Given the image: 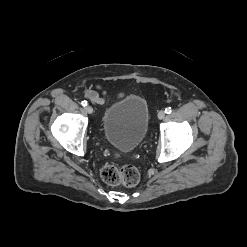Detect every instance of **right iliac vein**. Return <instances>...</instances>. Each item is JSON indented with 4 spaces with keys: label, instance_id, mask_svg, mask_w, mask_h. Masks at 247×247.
Listing matches in <instances>:
<instances>
[{
    "label": "right iliac vein",
    "instance_id": "1",
    "mask_svg": "<svg viewBox=\"0 0 247 247\" xmlns=\"http://www.w3.org/2000/svg\"><path fill=\"white\" fill-rule=\"evenodd\" d=\"M86 112L89 113V114H92L93 113V108L92 106L88 105L86 108H85Z\"/></svg>",
    "mask_w": 247,
    "mask_h": 247
}]
</instances>
